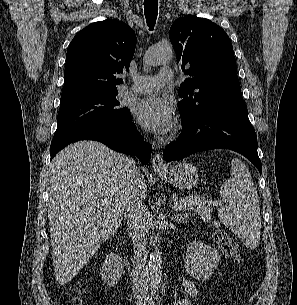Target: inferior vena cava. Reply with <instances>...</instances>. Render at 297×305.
I'll return each mask as SVG.
<instances>
[{
	"instance_id": "602c4592",
	"label": "inferior vena cava",
	"mask_w": 297,
	"mask_h": 305,
	"mask_svg": "<svg viewBox=\"0 0 297 305\" xmlns=\"http://www.w3.org/2000/svg\"><path fill=\"white\" fill-rule=\"evenodd\" d=\"M128 184L125 191V216L127 217L128 231L133 240V293L137 305H146L150 302L148 292V265H147V233L149 212L144 205V196L140 193L139 183L142 173L137 169L133 159L126 161Z\"/></svg>"
}]
</instances>
